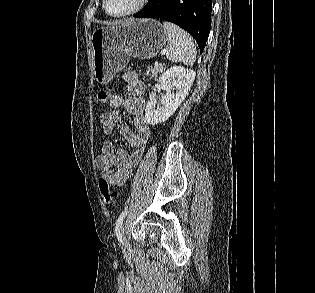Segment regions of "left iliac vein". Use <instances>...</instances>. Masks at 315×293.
Wrapping results in <instances>:
<instances>
[{"label": "left iliac vein", "mask_w": 315, "mask_h": 293, "mask_svg": "<svg viewBox=\"0 0 315 293\" xmlns=\"http://www.w3.org/2000/svg\"><path fill=\"white\" fill-rule=\"evenodd\" d=\"M120 235H121V239H122V246L124 249L128 248V241L125 237V226L124 224L122 226H120Z\"/></svg>", "instance_id": "left-iliac-vein-1"}]
</instances>
